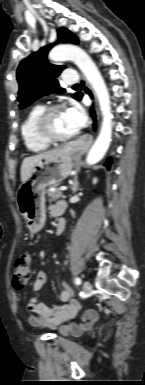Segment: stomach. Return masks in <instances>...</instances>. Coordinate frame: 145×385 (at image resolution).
Segmentation results:
<instances>
[{
    "label": "stomach",
    "instance_id": "stomach-1",
    "mask_svg": "<svg viewBox=\"0 0 145 385\" xmlns=\"http://www.w3.org/2000/svg\"><path fill=\"white\" fill-rule=\"evenodd\" d=\"M73 159L68 146L51 150L34 165L28 179L19 186L16 192L18 210L32 235L45 224L46 187L57 185L68 177Z\"/></svg>",
    "mask_w": 145,
    "mask_h": 385
}]
</instances>
